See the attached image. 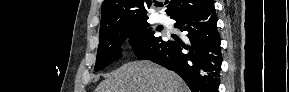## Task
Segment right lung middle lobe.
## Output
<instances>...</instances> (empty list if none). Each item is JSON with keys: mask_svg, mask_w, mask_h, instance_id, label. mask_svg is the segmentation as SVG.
I'll use <instances>...</instances> for the list:
<instances>
[{"mask_svg": "<svg viewBox=\"0 0 289 92\" xmlns=\"http://www.w3.org/2000/svg\"><path fill=\"white\" fill-rule=\"evenodd\" d=\"M156 31L158 29L150 27L147 19L116 23L100 31L95 71L104 69L121 58L120 47L128 37H132L131 42L138 56L162 39L155 35Z\"/></svg>", "mask_w": 289, "mask_h": 92, "instance_id": "1", "label": "right lung middle lobe"}]
</instances>
